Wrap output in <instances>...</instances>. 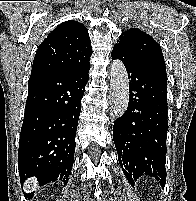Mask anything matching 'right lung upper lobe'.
<instances>
[{"instance_id": "obj_1", "label": "right lung upper lobe", "mask_w": 196, "mask_h": 201, "mask_svg": "<svg viewBox=\"0 0 196 201\" xmlns=\"http://www.w3.org/2000/svg\"><path fill=\"white\" fill-rule=\"evenodd\" d=\"M91 55L87 28L77 21L63 22L38 47L30 78L81 69L90 65Z\"/></svg>"}]
</instances>
